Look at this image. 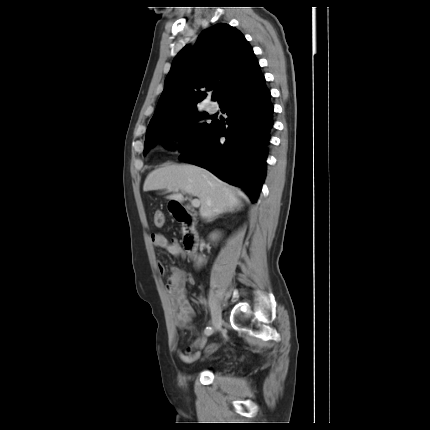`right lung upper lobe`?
Listing matches in <instances>:
<instances>
[{
	"instance_id": "right-lung-upper-lobe-1",
	"label": "right lung upper lobe",
	"mask_w": 430,
	"mask_h": 430,
	"mask_svg": "<svg viewBox=\"0 0 430 430\" xmlns=\"http://www.w3.org/2000/svg\"><path fill=\"white\" fill-rule=\"evenodd\" d=\"M260 76L259 63L243 34L229 24H216L174 58L148 129L196 109L207 91H214L212 99L223 103L237 85Z\"/></svg>"
}]
</instances>
